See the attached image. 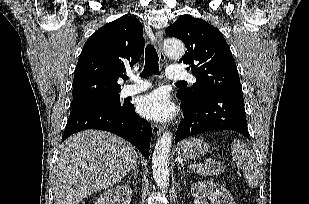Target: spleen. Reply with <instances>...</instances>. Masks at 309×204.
<instances>
[{
    "label": "spleen",
    "mask_w": 309,
    "mask_h": 204,
    "mask_svg": "<svg viewBox=\"0 0 309 204\" xmlns=\"http://www.w3.org/2000/svg\"><path fill=\"white\" fill-rule=\"evenodd\" d=\"M232 157L238 168L243 170L244 178L251 188L258 186L260 168L251 149L241 140L232 143Z\"/></svg>",
    "instance_id": "obj_1"
}]
</instances>
